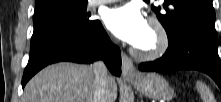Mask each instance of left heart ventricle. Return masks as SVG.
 <instances>
[{"mask_svg": "<svg viewBox=\"0 0 221 102\" xmlns=\"http://www.w3.org/2000/svg\"><path fill=\"white\" fill-rule=\"evenodd\" d=\"M155 44H156V35L154 31L148 25L147 31L144 37L142 38V40L137 45V47L144 49V50H148V49L153 48Z\"/></svg>", "mask_w": 221, "mask_h": 102, "instance_id": "obj_1", "label": "left heart ventricle"}]
</instances>
